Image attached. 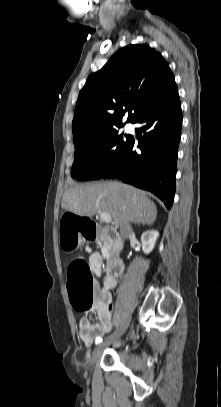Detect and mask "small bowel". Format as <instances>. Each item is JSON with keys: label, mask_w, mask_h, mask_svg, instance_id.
Returning <instances> with one entry per match:
<instances>
[{"label": "small bowel", "mask_w": 221, "mask_h": 407, "mask_svg": "<svg viewBox=\"0 0 221 407\" xmlns=\"http://www.w3.org/2000/svg\"><path fill=\"white\" fill-rule=\"evenodd\" d=\"M102 256L95 252L89 258V267L91 272L100 277L102 273ZM116 276L107 275L103 279L101 286H97L94 292V302L91 308L97 315V321L92 322L88 317L83 316L79 319V335L87 346H92L94 340L108 333L112 328V304L111 291L117 286Z\"/></svg>", "instance_id": "c3829d8e"}]
</instances>
